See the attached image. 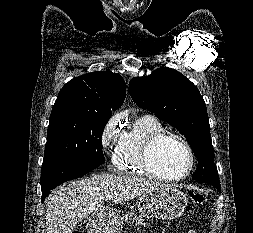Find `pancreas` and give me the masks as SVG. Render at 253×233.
Returning a JSON list of instances; mask_svg holds the SVG:
<instances>
[{
  "instance_id": "pancreas-1",
  "label": "pancreas",
  "mask_w": 253,
  "mask_h": 233,
  "mask_svg": "<svg viewBox=\"0 0 253 233\" xmlns=\"http://www.w3.org/2000/svg\"><path fill=\"white\" fill-rule=\"evenodd\" d=\"M128 219L133 220V221H137V222L140 223V224H145V223H144V218H143V216L137 215V214L135 213V211H133V210H131L130 212H128V213L125 215V222H127Z\"/></svg>"
}]
</instances>
